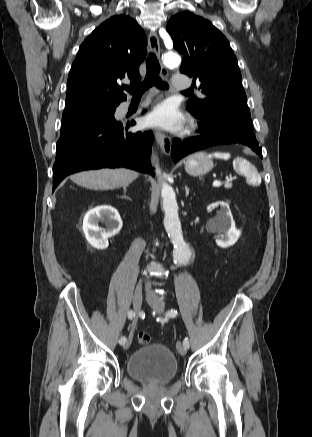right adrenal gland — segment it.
<instances>
[{
    "label": "right adrenal gland",
    "mask_w": 312,
    "mask_h": 437,
    "mask_svg": "<svg viewBox=\"0 0 312 437\" xmlns=\"http://www.w3.org/2000/svg\"><path fill=\"white\" fill-rule=\"evenodd\" d=\"M123 191H124V194L126 195L127 188H126V187H123Z\"/></svg>",
    "instance_id": "right-adrenal-gland-1"
}]
</instances>
